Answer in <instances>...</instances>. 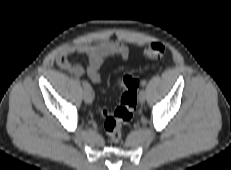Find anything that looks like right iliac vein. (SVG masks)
<instances>
[{
    "instance_id": "63e3f726",
    "label": "right iliac vein",
    "mask_w": 231,
    "mask_h": 170,
    "mask_svg": "<svg viewBox=\"0 0 231 170\" xmlns=\"http://www.w3.org/2000/svg\"><path fill=\"white\" fill-rule=\"evenodd\" d=\"M83 98H84V101L88 104L92 103L93 101V93L92 91L90 90H85L84 93H83Z\"/></svg>"
}]
</instances>
